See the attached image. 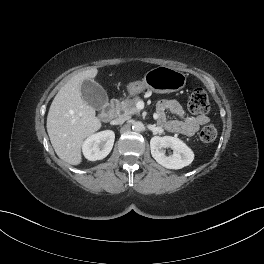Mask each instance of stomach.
Wrapping results in <instances>:
<instances>
[{
    "mask_svg": "<svg viewBox=\"0 0 264 264\" xmlns=\"http://www.w3.org/2000/svg\"><path fill=\"white\" fill-rule=\"evenodd\" d=\"M187 77L184 73L168 66H158L149 70L141 81H134L127 85L130 95L151 90L156 93H171L182 89Z\"/></svg>",
    "mask_w": 264,
    "mask_h": 264,
    "instance_id": "obj_1",
    "label": "stomach"
}]
</instances>
